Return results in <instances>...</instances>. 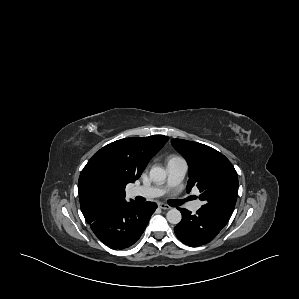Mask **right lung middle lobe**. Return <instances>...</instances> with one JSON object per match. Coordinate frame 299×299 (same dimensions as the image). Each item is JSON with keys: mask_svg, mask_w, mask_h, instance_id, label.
Here are the masks:
<instances>
[{"mask_svg": "<svg viewBox=\"0 0 299 299\" xmlns=\"http://www.w3.org/2000/svg\"><path fill=\"white\" fill-rule=\"evenodd\" d=\"M98 178H99V180L102 182V181H104L105 180V175L103 174V173H99L98 174Z\"/></svg>", "mask_w": 299, "mask_h": 299, "instance_id": "1", "label": "right lung middle lobe"}]
</instances>
